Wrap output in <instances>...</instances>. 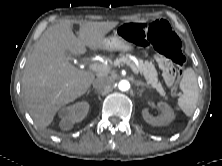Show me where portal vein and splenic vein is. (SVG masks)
<instances>
[{
	"mask_svg": "<svg viewBox=\"0 0 222 166\" xmlns=\"http://www.w3.org/2000/svg\"><path fill=\"white\" fill-rule=\"evenodd\" d=\"M129 67L132 69V71L138 75L139 74V71L138 69L133 66V65H129ZM89 68L92 70V71H95L97 73H106L108 72L109 68L103 64H100V63H92Z\"/></svg>",
	"mask_w": 222,
	"mask_h": 166,
	"instance_id": "1",
	"label": "portal vein and splenic vein"
}]
</instances>
